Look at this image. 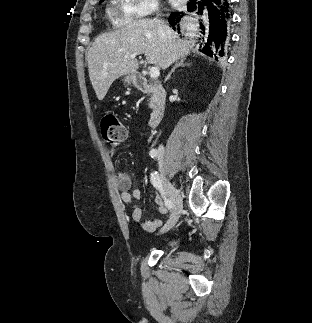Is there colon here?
Masks as SVG:
<instances>
[{"mask_svg": "<svg viewBox=\"0 0 312 323\" xmlns=\"http://www.w3.org/2000/svg\"><path fill=\"white\" fill-rule=\"evenodd\" d=\"M101 133L106 143L113 144L124 140L127 130L123 121L116 115L107 114L101 119Z\"/></svg>", "mask_w": 312, "mask_h": 323, "instance_id": "5ec220e1", "label": "colon"}]
</instances>
